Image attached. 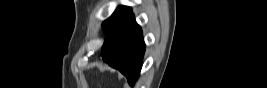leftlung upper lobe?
<instances>
[{"label": "left lung upper lobe", "mask_w": 267, "mask_h": 88, "mask_svg": "<svg viewBox=\"0 0 267 88\" xmlns=\"http://www.w3.org/2000/svg\"><path fill=\"white\" fill-rule=\"evenodd\" d=\"M129 12H131L129 7L119 6L112 16L103 22L102 27L104 33L107 35Z\"/></svg>", "instance_id": "obj_1"}]
</instances>
